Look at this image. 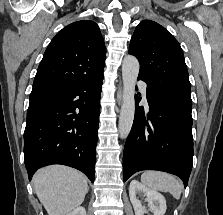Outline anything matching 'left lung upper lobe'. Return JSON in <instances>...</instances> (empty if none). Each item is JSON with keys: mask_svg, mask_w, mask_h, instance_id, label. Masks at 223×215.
Returning a JSON list of instances; mask_svg holds the SVG:
<instances>
[{"mask_svg": "<svg viewBox=\"0 0 223 215\" xmlns=\"http://www.w3.org/2000/svg\"><path fill=\"white\" fill-rule=\"evenodd\" d=\"M129 54L139 63L138 78L169 93L191 100L184 54L178 41L161 25L141 21L131 38Z\"/></svg>", "mask_w": 223, "mask_h": 215, "instance_id": "5c2ea615", "label": "left lung upper lobe"}]
</instances>
